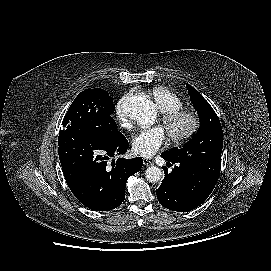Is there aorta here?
<instances>
[{"label": "aorta", "mask_w": 271, "mask_h": 271, "mask_svg": "<svg viewBox=\"0 0 271 271\" xmlns=\"http://www.w3.org/2000/svg\"><path fill=\"white\" fill-rule=\"evenodd\" d=\"M128 116L140 125L149 127L155 122L156 106L147 95L133 96L129 102ZM145 177L147 181L156 183L162 178V171L156 166L148 167Z\"/></svg>", "instance_id": "aorta-1"}]
</instances>
